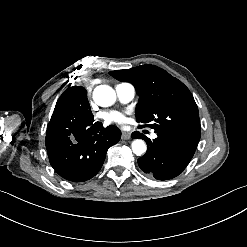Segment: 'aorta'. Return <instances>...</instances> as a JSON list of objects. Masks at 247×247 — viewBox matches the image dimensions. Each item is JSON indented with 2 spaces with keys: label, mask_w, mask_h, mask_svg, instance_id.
I'll return each mask as SVG.
<instances>
[{
  "label": "aorta",
  "mask_w": 247,
  "mask_h": 247,
  "mask_svg": "<svg viewBox=\"0 0 247 247\" xmlns=\"http://www.w3.org/2000/svg\"><path fill=\"white\" fill-rule=\"evenodd\" d=\"M93 99L101 107H109L116 101V94L113 88L108 85H99L93 91ZM132 151L136 155L146 152L147 146L142 139H136L131 144Z\"/></svg>",
  "instance_id": "1"
}]
</instances>
